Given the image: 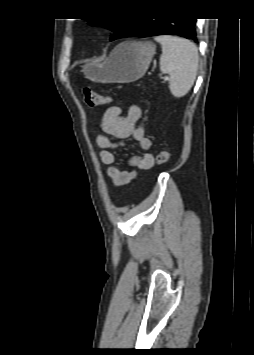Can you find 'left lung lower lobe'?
Instances as JSON below:
<instances>
[{"label":"left lung lower lobe","instance_id":"left-lung-lower-lobe-1","mask_svg":"<svg viewBox=\"0 0 254 355\" xmlns=\"http://www.w3.org/2000/svg\"><path fill=\"white\" fill-rule=\"evenodd\" d=\"M195 18H135L123 37H148L156 35H178L197 41Z\"/></svg>","mask_w":254,"mask_h":355}]
</instances>
